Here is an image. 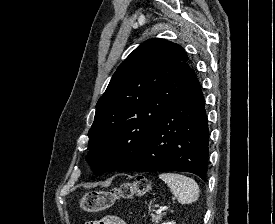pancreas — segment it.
<instances>
[{
	"label": "pancreas",
	"mask_w": 275,
	"mask_h": 224,
	"mask_svg": "<svg viewBox=\"0 0 275 224\" xmlns=\"http://www.w3.org/2000/svg\"><path fill=\"white\" fill-rule=\"evenodd\" d=\"M162 218V215H152V222L155 223V224H158L159 221L161 220Z\"/></svg>",
	"instance_id": "1"
}]
</instances>
